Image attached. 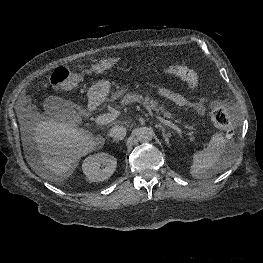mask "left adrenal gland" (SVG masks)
<instances>
[{
    "label": "left adrenal gland",
    "mask_w": 263,
    "mask_h": 263,
    "mask_svg": "<svg viewBox=\"0 0 263 263\" xmlns=\"http://www.w3.org/2000/svg\"><path fill=\"white\" fill-rule=\"evenodd\" d=\"M157 127H159L162 130V136H163L166 144L169 145V138L168 137H170V133H166L164 126H162L161 124H158Z\"/></svg>",
    "instance_id": "obj_1"
}]
</instances>
